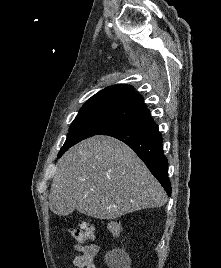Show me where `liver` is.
<instances>
[{
  "mask_svg": "<svg viewBox=\"0 0 221 268\" xmlns=\"http://www.w3.org/2000/svg\"><path fill=\"white\" fill-rule=\"evenodd\" d=\"M49 201L50 209L60 216L77 210L112 220L161 207L167 196L126 144L112 137L94 136L70 148L59 160Z\"/></svg>",
  "mask_w": 221,
  "mask_h": 268,
  "instance_id": "1",
  "label": "liver"
}]
</instances>
